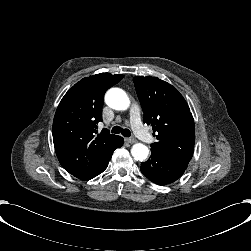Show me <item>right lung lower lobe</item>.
Wrapping results in <instances>:
<instances>
[{
	"mask_svg": "<svg viewBox=\"0 0 251 251\" xmlns=\"http://www.w3.org/2000/svg\"><path fill=\"white\" fill-rule=\"evenodd\" d=\"M123 143H124V140L121 142L119 147H121L123 145ZM108 162L99 171L95 172L94 174H92L88 178L84 179V181L90 180V179L96 177L97 175H99L100 173H102L107 168Z\"/></svg>",
	"mask_w": 251,
	"mask_h": 251,
	"instance_id": "obj_1",
	"label": "right lung lower lobe"
}]
</instances>
